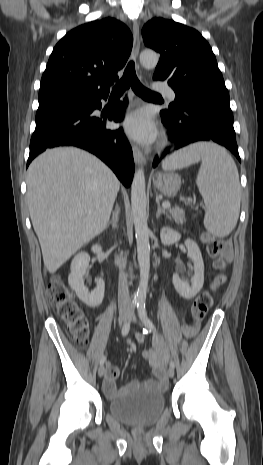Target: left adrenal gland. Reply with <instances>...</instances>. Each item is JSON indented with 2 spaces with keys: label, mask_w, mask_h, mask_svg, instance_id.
Returning a JSON list of instances; mask_svg holds the SVG:
<instances>
[{
  "label": "left adrenal gland",
  "mask_w": 263,
  "mask_h": 465,
  "mask_svg": "<svg viewBox=\"0 0 263 465\" xmlns=\"http://www.w3.org/2000/svg\"><path fill=\"white\" fill-rule=\"evenodd\" d=\"M156 203H157V213H156V217L159 218V216H160L161 214H164V215H166L167 218H169L168 213H166V211H165L164 209L161 208L160 202H159L158 199H156Z\"/></svg>",
  "instance_id": "obj_1"
}]
</instances>
